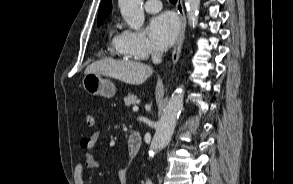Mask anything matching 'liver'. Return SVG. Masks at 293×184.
I'll list each match as a JSON object with an SVG mask.
<instances>
[{
    "label": "liver",
    "instance_id": "liver-1",
    "mask_svg": "<svg viewBox=\"0 0 293 184\" xmlns=\"http://www.w3.org/2000/svg\"><path fill=\"white\" fill-rule=\"evenodd\" d=\"M96 73L113 77L132 85L144 83L153 73L150 66L132 60L101 59L85 69V74Z\"/></svg>",
    "mask_w": 293,
    "mask_h": 184
}]
</instances>
